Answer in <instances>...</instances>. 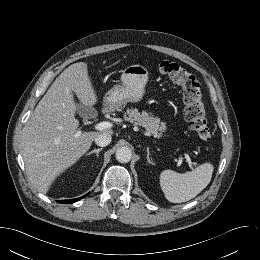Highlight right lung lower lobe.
I'll return each instance as SVG.
<instances>
[{
  "instance_id": "1",
  "label": "right lung lower lobe",
  "mask_w": 260,
  "mask_h": 260,
  "mask_svg": "<svg viewBox=\"0 0 260 260\" xmlns=\"http://www.w3.org/2000/svg\"><path fill=\"white\" fill-rule=\"evenodd\" d=\"M83 197L77 198V199H72V200H59V203H64V204H69V203H74L75 201L81 199Z\"/></svg>"
}]
</instances>
